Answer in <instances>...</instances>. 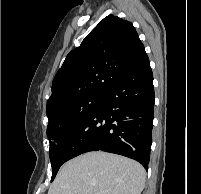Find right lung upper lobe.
<instances>
[{
  "label": "right lung upper lobe",
  "mask_w": 201,
  "mask_h": 194,
  "mask_svg": "<svg viewBox=\"0 0 201 194\" xmlns=\"http://www.w3.org/2000/svg\"><path fill=\"white\" fill-rule=\"evenodd\" d=\"M148 57L132 23L108 15L58 70L47 114L84 97L104 95Z\"/></svg>",
  "instance_id": "1"
}]
</instances>
